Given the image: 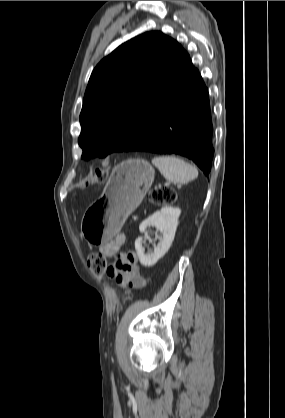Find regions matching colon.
<instances>
[{"instance_id": "colon-1", "label": "colon", "mask_w": 285, "mask_h": 418, "mask_svg": "<svg viewBox=\"0 0 285 418\" xmlns=\"http://www.w3.org/2000/svg\"><path fill=\"white\" fill-rule=\"evenodd\" d=\"M97 180L100 183H104L106 178L100 170L95 173ZM148 200L155 205H163L172 203L176 200V193L165 187H157L152 189L148 195ZM88 263L93 272L99 276L107 274V260L106 255L102 252L93 253L88 257Z\"/></svg>"}]
</instances>
